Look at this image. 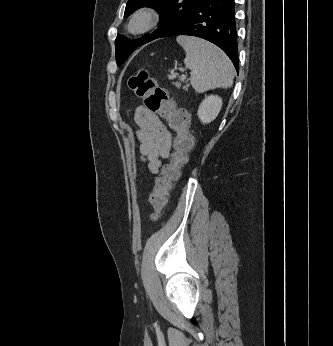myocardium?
<instances>
[{"instance_id": "1", "label": "myocardium", "mask_w": 333, "mask_h": 346, "mask_svg": "<svg viewBox=\"0 0 333 346\" xmlns=\"http://www.w3.org/2000/svg\"><path fill=\"white\" fill-rule=\"evenodd\" d=\"M160 18L158 9L154 6H142L129 18L126 29L130 34H143L153 29Z\"/></svg>"}]
</instances>
